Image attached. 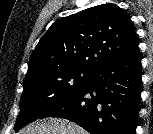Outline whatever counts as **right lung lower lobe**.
Here are the masks:
<instances>
[{
  "label": "right lung lower lobe",
  "instance_id": "1",
  "mask_svg": "<svg viewBox=\"0 0 153 134\" xmlns=\"http://www.w3.org/2000/svg\"><path fill=\"white\" fill-rule=\"evenodd\" d=\"M141 78L137 46L99 66L82 88L39 119H68L90 134H135L141 108Z\"/></svg>",
  "mask_w": 153,
  "mask_h": 134
}]
</instances>
